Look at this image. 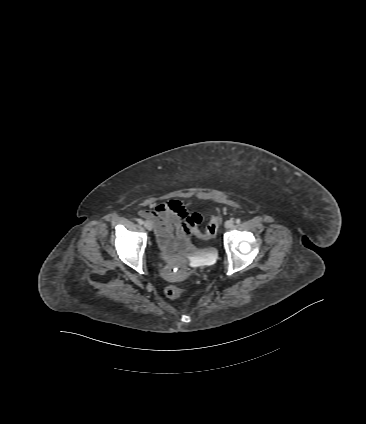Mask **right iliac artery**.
<instances>
[{
  "label": "right iliac artery",
  "mask_w": 366,
  "mask_h": 424,
  "mask_svg": "<svg viewBox=\"0 0 366 424\" xmlns=\"http://www.w3.org/2000/svg\"><path fill=\"white\" fill-rule=\"evenodd\" d=\"M138 223H139V224H141V225H142V224H144L143 219H139V220H138Z\"/></svg>",
  "instance_id": "1"
}]
</instances>
